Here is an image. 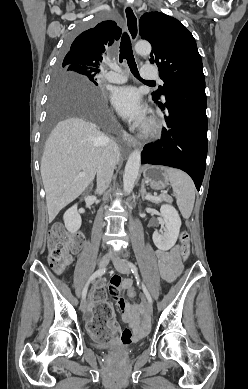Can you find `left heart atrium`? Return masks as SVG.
Returning a JSON list of instances; mask_svg holds the SVG:
<instances>
[{"label":"left heart atrium","mask_w":248,"mask_h":389,"mask_svg":"<svg viewBox=\"0 0 248 389\" xmlns=\"http://www.w3.org/2000/svg\"><path fill=\"white\" fill-rule=\"evenodd\" d=\"M111 101L118 113L126 120L142 124L145 109L140 94L134 87H120L113 91Z\"/></svg>","instance_id":"left-heart-atrium-1"}]
</instances>
